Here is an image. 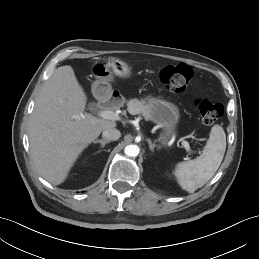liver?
<instances>
[{
    "label": "liver",
    "mask_w": 259,
    "mask_h": 259,
    "mask_svg": "<svg viewBox=\"0 0 259 259\" xmlns=\"http://www.w3.org/2000/svg\"><path fill=\"white\" fill-rule=\"evenodd\" d=\"M87 96L71 66L58 67L43 85L30 118L31 157L41 176L54 185L65 181L82 151L112 120L84 113Z\"/></svg>",
    "instance_id": "liver-1"
}]
</instances>
